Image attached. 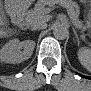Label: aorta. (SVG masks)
<instances>
[{
    "label": "aorta",
    "mask_w": 91,
    "mask_h": 91,
    "mask_svg": "<svg viewBox=\"0 0 91 91\" xmlns=\"http://www.w3.org/2000/svg\"><path fill=\"white\" fill-rule=\"evenodd\" d=\"M53 35L56 39L63 40L68 36V29L60 23L53 26Z\"/></svg>",
    "instance_id": "762f6f07"
}]
</instances>
